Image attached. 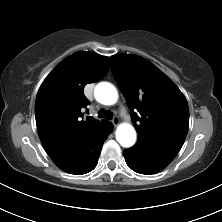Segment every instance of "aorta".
I'll list each match as a JSON object with an SVG mask.
<instances>
[{
    "label": "aorta",
    "instance_id": "obj_1",
    "mask_svg": "<svg viewBox=\"0 0 222 222\" xmlns=\"http://www.w3.org/2000/svg\"><path fill=\"white\" fill-rule=\"evenodd\" d=\"M94 95L96 100L104 105H113L118 99L116 88L108 82L97 84ZM116 140L123 147L133 146L136 141V131L134 127L128 123L120 124L116 130Z\"/></svg>",
    "mask_w": 222,
    "mask_h": 222
}]
</instances>
